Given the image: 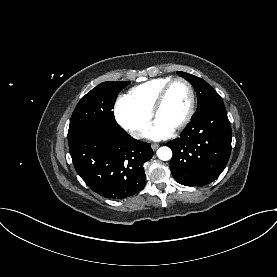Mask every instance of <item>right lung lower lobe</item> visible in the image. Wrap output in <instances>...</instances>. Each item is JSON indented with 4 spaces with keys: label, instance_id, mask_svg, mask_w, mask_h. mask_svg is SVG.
Wrapping results in <instances>:
<instances>
[{
    "label": "right lung lower lobe",
    "instance_id": "obj_1",
    "mask_svg": "<svg viewBox=\"0 0 277 277\" xmlns=\"http://www.w3.org/2000/svg\"><path fill=\"white\" fill-rule=\"evenodd\" d=\"M77 173L98 194L110 199L132 196L144 188L143 164L150 160V144L123 129L97 128L69 144Z\"/></svg>",
    "mask_w": 277,
    "mask_h": 277
}]
</instances>
